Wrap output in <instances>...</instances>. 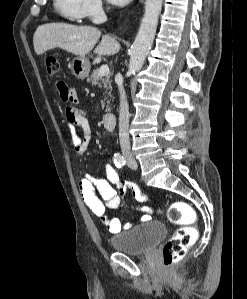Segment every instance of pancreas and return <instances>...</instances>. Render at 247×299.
<instances>
[{
    "label": "pancreas",
    "instance_id": "cf45deb5",
    "mask_svg": "<svg viewBox=\"0 0 247 299\" xmlns=\"http://www.w3.org/2000/svg\"><path fill=\"white\" fill-rule=\"evenodd\" d=\"M98 69H95L92 74L89 76L88 81L92 85H97L100 88H103L104 93L103 95L105 96L104 100L101 101V106L102 109L105 107V101H107V96H111V91H112V86H111V81H110V76H99L98 75ZM109 104V101H107ZM110 110V107L107 105L106 107V112Z\"/></svg>",
    "mask_w": 247,
    "mask_h": 299
}]
</instances>
